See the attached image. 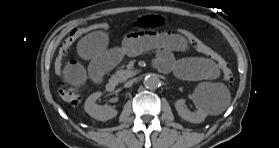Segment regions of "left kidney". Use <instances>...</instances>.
Here are the masks:
<instances>
[{
  "label": "left kidney",
  "instance_id": "left-kidney-1",
  "mask_svg": "<svg viewBox=\"0 0 279 148\" xmlns=\"http://www.w3.org/2000/svg\"><path fill=\"white\" fill-rule=\"evenodd\" d=\"M193 102L197 108L196 112H191L185 107V100L179 99L175 102V109L179 116L186 121L191 123H201L205 120L206 116L209 114L205 103L202 101L199 93L195 90L192 95Z\"/></svg>",
  "mask_w": 279,
  "mask_h": 148
}]
</instances>
